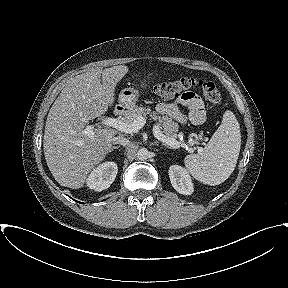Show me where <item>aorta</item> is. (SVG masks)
Listing matches in <instances>:
<instances>
[{"label": "aorta", "instance_id": "762f6f07", "mask_svg": "<svg viewBox=\"0 0 288 288\" xmlns=\"http://www.w3.org/2000/svg\"><path fill=\"white\" fill-rule=\"evenodd\" d=\"M137 159L144 161L147 160L150 156V152L146 148H140L137 151Z\"/></svg>", "mask_w": 288, "mask_h": 288}]
</instances>
